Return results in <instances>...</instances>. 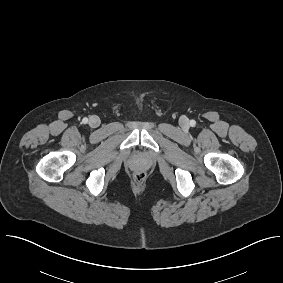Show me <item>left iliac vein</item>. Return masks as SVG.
<instances>
[{
    "instance_id": "1",
    "label": "left iliac vein",
    "mask_w": 283,
    "mask_h": 283,
    "mask_svg": "<svg viewBox=\"0 0 283 283\" xmlns=\"http://www.w3.org/2000/svg\"><path fill=\"white\" fill-rule=\"evenodd\" d=\"M181 123H182L183 126H187L188 120L186 118H183Z\"/></svg>"
}]
</instances>
